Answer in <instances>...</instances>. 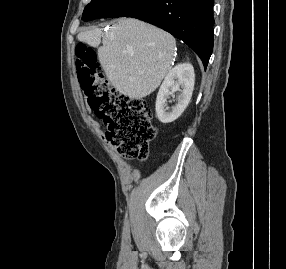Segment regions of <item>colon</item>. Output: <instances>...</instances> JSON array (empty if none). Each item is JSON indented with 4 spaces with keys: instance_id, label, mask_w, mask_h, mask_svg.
Here are the masks:
<instances>
[{
    "instance_id": "5ec220e1",
    "label": "colon",
    "mask_w": 286,
    "mask_h": 269,
    "mask_svg": "<svg viewBox=\"0 0 286 269\" xmlns=\"http://www.w3.org/2000/svg\"><path fill=\"white\" fill-rule=\"evenodd\" d=\"M76 69L89 103L107 126V138L127 158L145 160L156 136L152 112L144 99L129 98L108 87L95 52L76 46Z\"/></svg>"
}]
</instances>
